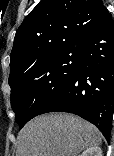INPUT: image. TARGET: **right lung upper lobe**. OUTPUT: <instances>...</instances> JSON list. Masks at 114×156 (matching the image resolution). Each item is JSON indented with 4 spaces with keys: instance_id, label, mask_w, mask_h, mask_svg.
Segmentation results:
<instances>
[{
    "instance_id": "cb5924a9",
    "label": "right lung upper lobe",
    "mask_w": 114,
    "mask_h": 156,
    "mask_svg": "<svg viewBox=\"0 0 114 156\" xmlns=\"http://www.w3.org/2000/svg\"><path fill=\"white\" fill-rule=\"evenodd\" d=\"M107 13L101 0H41L16 32L9 83L36 63L78 46Z\"/></svg>"
}]
</instances>
